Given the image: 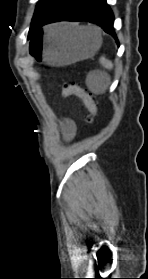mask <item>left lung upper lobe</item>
I'll return each instance as SVG.
<instances>
[{
    "label": "left lung upper lobe",
    "mask_w": 148,
    "mask_h": 279,
    "mask_svg": "<svg viewBox=\"0 0 148 279\" xmlns=\"http://www.w3.org/2000/svg\"><path fill=\"white\" fill-rule=\"evenodd\" d=\"M65 0H40L36 6L32 19L29 36H31L38 24L45 20L54 10H56Z\"/></svg>",
    "instance_id": "obj_1"
}]
</instances>
